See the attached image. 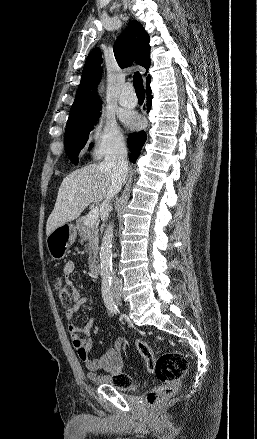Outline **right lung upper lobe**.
<instances>
[{
	"label": "right lung upper lobe",
	"mask_w": 257,
	"mask_h": 439,
	"mask_svg": "<svg viewBox=\"0 0 257 439\" xmlns=\"http://www.w3.org/2000/svg\"><path fill=\"white\" fill-rule=\"evenodd\" d=\"M149 35L140 22L132 20L126 31L118 37L113 50L116 61L121 68L135 62L146 69L150 65ZM102 55L98 47L88 55L81 76L74 103L71 107L68 120L79 118L97 112L101 109V101L96 87L101 79ZM146 75V73H145ZM150 79V75L146 80Z\"/></svg>",
	"instance_id": "1"
}]
</instances>
